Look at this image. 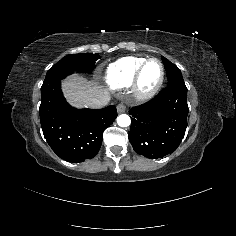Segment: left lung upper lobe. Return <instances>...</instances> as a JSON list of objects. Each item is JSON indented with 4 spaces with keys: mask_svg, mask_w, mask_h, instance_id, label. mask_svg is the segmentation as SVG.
Returning a JSON list of instances; mask_svg holds the SVG:
<instances>
[{
    "mask_svg": "<svg viewBox=\"0 0 236 236\" xmlns=\"http://www.w3.org/2000/svg\"><path fill=\"white\" fill-rule=\"evenodd\" d=\"M162 61L164 63V67L166 70L168 84L176 83V82H184L183 77H182V73L176 65L171 63L165 57H162Z\"/></svg>",
    "mask_w": 236,
    "mask_h": 236,
    "instance_id": "obj_1",
    "label": "left lung upper lobe"
}]
</instances>
